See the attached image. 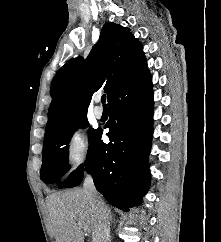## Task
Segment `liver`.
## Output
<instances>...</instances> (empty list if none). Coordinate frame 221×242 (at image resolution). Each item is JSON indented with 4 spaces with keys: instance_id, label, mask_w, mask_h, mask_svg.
Segmentation results:
<instances>
[{
    "instance_id": "6515ba94",
    "label": "liver",
    "mask_w": 221,
    "mask_h": 242,
    "mask_svg": "<svg viewBox=\"0 0 221 242\" xmlns=\"http://www.w3.org/2000/svg\"><path fill=\"white\" fill-rule=\"evenodd\" d=\"M47 209L48 229L56 242H84V228L94 238L96 219L84 189L49 195Z\"/></svg>"
}]
</instances>
